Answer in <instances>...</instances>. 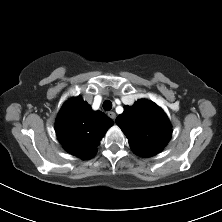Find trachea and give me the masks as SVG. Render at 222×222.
<instances>
[{"mask_svg":"<svg viewBox=\"0 0 222 222\" xmlns=\"http://www.w3.org/2000/svg\"><path fill=\"white\" fill-rule=\"evenodd\" d=\"M103 109L105 111H110L112 109V102L110 100H105L103 102Z\"/></svg>","mask_w":222,"mask_h":222,"instance_id":"1","label":"trachea"}]
</instances>
